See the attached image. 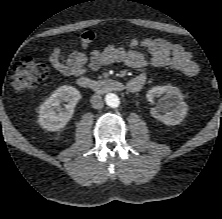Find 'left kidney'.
<instances>
[{"mask_svg":"<svg viewBox=\"0 0 222 219\" xmlns=\"http://www.w3.org/2000/svg\"><path fill=\"white\" fill-rule=\"evenodd\" d=\"M163 96L156 107L151 108V115L166 125H177L187 114V105L179 88L165 85L151 88L146 97L152 102L155 97Z\"/></svg>","mask_w":222,"mask_h":219,"instance_id":"obj_1","label":"left kidney"}]
</instances>
